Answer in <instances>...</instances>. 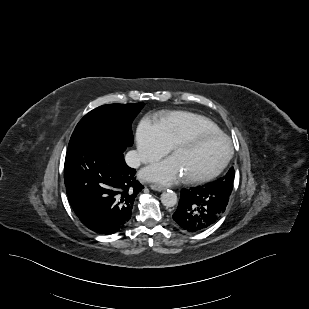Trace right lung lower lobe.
Returning <instances> with one entry per match:
<instances>
[{
    "label": "right lung lower lobe",
    "mask_w": 309,
    "mask_h": 309,
    "mask_svg": "<svg viewBox=\"0 0 309 309\" xmlns=\"http://www.w3.org/2000/svg\"><path fill=\"white\" fill-rule=\"evenodd\" d=\"M126 145L116 137L86 132L70 139L64 180L70 204L80 221L99 234L125 228L134 200L144 188L126 165Z\"/></svg>",
    "instance_id": "obj_1"
}]
</instances>
